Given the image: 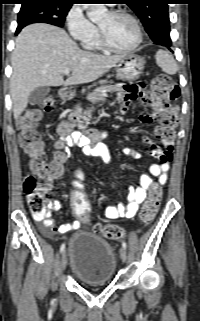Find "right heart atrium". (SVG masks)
Instances as JSON below:
<instances>
[{"instance_id": "d8ad5b80", "label": "right heart atrium", "mask_w": 200, "mask_h": 321, "mask_svg": "<svg viewBox=\"0 0 200 321\" xmlns=\"http://www.w3.org/2000/svg\"><path fill=\"white\" fill-rule=\"evenodd\" d=\"M66 26L69 34L76 40H83L95 30V25L86 17L80 5H73L66 16Z\"/></svg>"}]
</instances>
